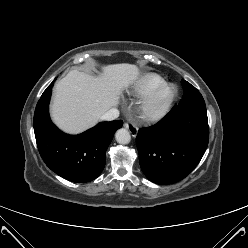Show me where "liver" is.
I'll list each match as a JSON object with an SVG mask.
<instances>
[{
    "label": "liver",
    "instance_id": "liver-1",
    "mask_svg": "<svg viewBox=\"0 0 248 248\" xmlns=\"http://www.w3.org/2000/svg\"><path fill=\"white\" fill-rule=\"evenodd\" d=\"M138 76V67L125 63L104 66L99 77L70 71L55 85L51 105L53 121L72 134L94 126L105 112L119 103L122 91Z\"/></svg>",
    "mask_w": 248,
    "mask_h": 248
}]
</instances>
